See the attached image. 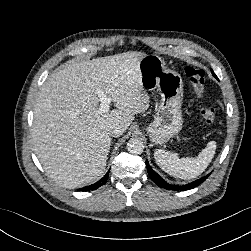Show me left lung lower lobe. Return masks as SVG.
I'll return each mask as SVG.
<instances>
[{
  "label": "left lung lower lobe",
  "mask_w": 251,
  "mask_h": 251,
  "mask_svg": "<svg viewBox=\"0 0 251 251\" xmlns=\"http://www.w3.org/2000/svg\"><path fill=\"white\" fill-rule=\"evenodd\" d=\"M213 73V72H212ZM214 77H216L215 73H213ZM217 78V77H216ZM146 166H147V170H148V174L150 176V178L161 188L167 189V190H175V191H185V190H189L192 188H195L196 186L200 185L201 183H203L209 175H206L198 180H195L191 183H188L186 185H173V184H169L168 182H166L165 180H163L160 175H158L149 165L148 161H146Z\"/></svg>",
  "instance_id": "left-lung-lower-lobe-1"
}]
</instances>
